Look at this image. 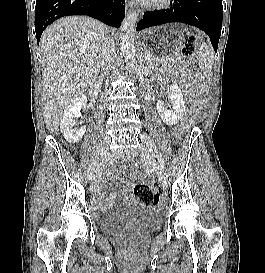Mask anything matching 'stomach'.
Here are the masks:
<instances>
[{
    "instance_id": "0dacf381",
    "label": "stomach",
    "mask_w": 265,
    "mask_h": 273,
    "mask_svg": "<svg viewBox=\"0 0 265 273\" xmlns=\"http://www.w3.org/2000/svg\"><path fill=\"white\" fill-rule=\"evenodd\" d=\"M191 25H156L155 30H147L146 35H142L138 49H145L146 60H154L155 64H160L161 60H170L171 56H179V46L186 35L187 30H191Z\"/></svg>"
}]
</instances>
